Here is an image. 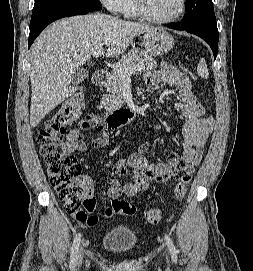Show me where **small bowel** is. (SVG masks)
I'll list each match as a JSON object with an SVG mask.
<instances>
[{"instance_id": "c3829d8e", "label": "small bowel", "mask_w": 253, "mask_h": 271, "mask_svg": "<svg viewBox=\"0 0 253 271\" xmlns=\"http://www.w3.org/2000/svg\"><path fill=\"white\" fill-rule=\"evenodd\" d=\"M146 82L149 86L163 83L179 89L180 100L174 104V109L186 118L183 130V154L179 157L177 153L172 152L166 163L155 164L145 157L150 149L149 142L142 143L138 152L116 162L113 166L110 187L107 191L110 199L119 198L122 194L128 197L135 196L145 191L151 181L164 182L178 174L192 175L202 160L203 150L213 131L214 120L212 117H205V110L195 97L187 74L163 63L159 71L146 76ZM109 129L110 127L98 119L86 118L68 132L63 150L69 154L86 151L88 147L82 139L85 130L101 131L102 136L93 139L91 147H103L108 143ZM118 177H124L126 181L122 183ZM83 181L90 184L89 178H83ZM113 215L111 207L105 208L102 212L104 218ZM93 217L96 223L98 216L93 215Z\"/></svg>"}]
</instances>
